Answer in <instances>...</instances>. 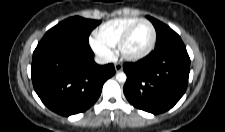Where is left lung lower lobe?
I'll list each match as a JSON object with an SVG mask.
<instances>
[{"label": "left lung lower lobe", "mask_w": 225, "mask_h": 132, "mask_svg": "<svg viewBox=\"0 0 225 132\" xmlns=\"http://www.w3.org/2000/svg\"><path fill=\"white\" fill-rule=\"evenodd\" d=\"M127 81L123 91L138 109L159 114L172 108L186 91L190 58L184 43L155 48L136 63H125Z\"/></svg>", "instance_id": "left-lung-lower-lobe-1"}]
</instances>
